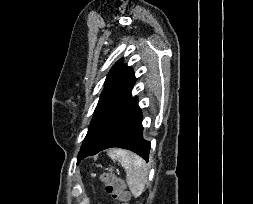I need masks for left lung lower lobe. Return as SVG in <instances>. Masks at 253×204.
<instances>
[{
  "label": "left lung lower lobe",
  "mask_w": 253,
  "mask_h": 204,
  "mask_svg": "<svg viewBox=\"0 0 253 204\" xmlns=\"http://www.w3.org/2000/svg\"><path fill=\"white\" fill-rule=\"evenodd\" d=\"M142 114L131 95L92 119L77 157L83 158L112 147L131 150L148 162L150 142L143 139Z\"/></svg>",
  "instance_id": "left-lung-lower-lobe-1"
}]
</instances>
